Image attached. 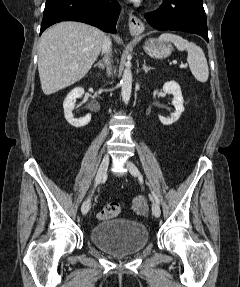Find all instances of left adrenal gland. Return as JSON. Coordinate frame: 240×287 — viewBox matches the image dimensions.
I'll list each match as a JSON object with an SVG mask.
<instances>
[{"label":"left adrenal gland","mask_w":240,"mask_h":287,"mask_svg":"<svg viewBox=\"0 0 240 287\" xmlns=\"http://www.w3.org/2000/svg\"><path fill=\"white\" fill-rule=\"evenodd\" d=\"M153 69L152 67H148L146 62L144 61V64H143V70L145 71V73H147L149 70Z\"/></svg>","instance_id":"left-adrenal-gland-1"}]
</instances>
